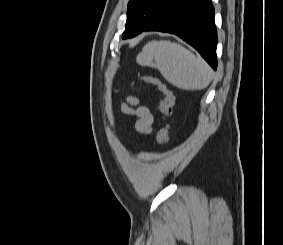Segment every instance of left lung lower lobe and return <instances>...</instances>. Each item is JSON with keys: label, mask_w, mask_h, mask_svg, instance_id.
<instances>
[{"label": "left lung lower lobe", "mask_w": 283, "mask_h": 245, "mask_svg": "<svg viewBox=\"0 0 283 245\" xmlns=\"http://www.w3.org/2000/svg\"><path fill=\"white\" fill-rule=\"evenodd\" d=\"M143 31L173 33L193 46L217 69V32L211 0H173Z\"/></svg>", "instance_id": "1"}]
</instances>
